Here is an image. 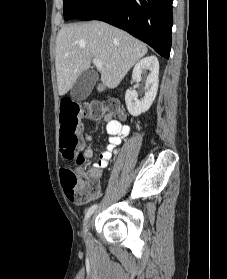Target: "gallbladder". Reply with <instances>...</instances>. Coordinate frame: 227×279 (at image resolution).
<instances>
[{
    "label": "gallbladder",
    "mask_w": 227,
    "mask_h": 279,
    "mask_svg": "<svg viewBox=\"0 0 227 279\" xmlns=\"http://www.w3.org/2000/svg\"><path fill=\"white\" fill-rule=\"evenodd\" d=\"M97 79L98 75L93 70H86L81 73L71 88L70 95L72 99L76 101L86 99L90 95Z\"/></svg>",
    "instance_id": "1"
}]
</instances>
